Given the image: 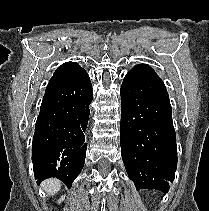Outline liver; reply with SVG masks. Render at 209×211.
<instances>
[{"mask_svg": "<svg viewBox=\"0 0 209 211\" xmlns=\"http://www.w3.org/2000/svg\"><path fill=\"white\" fill-rule=\"evenodd\" d=\"M41 187L47 192L49 196H53L60 190L61 182L57 179L51 178L43 181Z\"/></svg>", "mask_w": 209, "mask_h": 211, "instance_id": "obj_1", "label": "liver"}]
</instances>
